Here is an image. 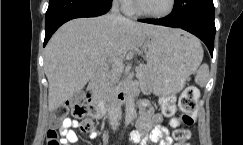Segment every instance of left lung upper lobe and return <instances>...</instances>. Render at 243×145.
<instances>
[{
  "label": "left lung upper lobe",
  "instance_id": "5c2ea615",
  "mask_svg": "<svg viewBox=\"0 0 243 145\" xmlns=\"http://www.w3.org/2000/svg\"><path fill=\"white\" fill-rule=\"evenodd\" d=\"M197 23H214L213 0H175L173 10Z\"/></svg>",
  "mask_w": 243,
  "mask_h": 145
}]
</instances>
